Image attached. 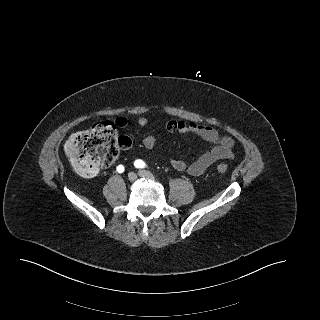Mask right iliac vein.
<instances>
[{"mask_svg":"<svg viewBox=\"0 0 320 320\" xmlns=\"http://www.w3.org/2000/svg\"><path fill=\"white\" fill-rule=\"evenodd\" d=\"M136 179H137V175H136L135 173L130 172V173L128 174V180H129L130 182H134Z\"/></svg>","mask_w":320,"mask_h":320,"instance_id":"right-iliac-vein-1","label":"right iliac vein"}]
</instances>
